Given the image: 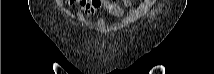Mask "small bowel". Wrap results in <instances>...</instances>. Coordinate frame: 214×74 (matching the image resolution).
<instances>
[{
	"instance_id": "obj_1",
	"label": "small bowel",
	"mask_w": 214,
	"mask_h": 74,
	"mask_svg": "<svg viewBox=\"0 0 214 74\" xmlns=\"http://www.w3.org/2000/svg\"><path fill=\"white\" fill-rule=\"evenodd\" d=\"M132 1H126L127 5H130ZM75 5L81 8L82 13L89 19H93L97 16L100 9L103 7L108 12L120 16L123 14V10L120 6L109 1L100 0H87V1H75Z\"/></svg>"
}]
</instances>
